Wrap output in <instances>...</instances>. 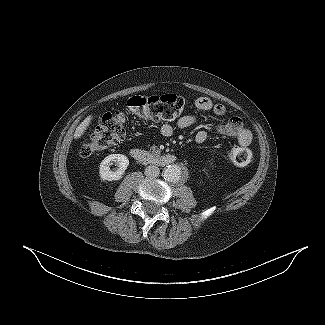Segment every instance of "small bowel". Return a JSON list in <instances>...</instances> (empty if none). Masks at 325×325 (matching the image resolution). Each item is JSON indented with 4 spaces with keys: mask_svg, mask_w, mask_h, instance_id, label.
<instances>
[{
    "mask_svg": "<svg viewBox=\"0 0 325 325\" xmlns=\"http://www.w3.org/2000/svg\"><path fill=\"white\" fill-rule=\"evenodd\" d=\"M195 107L200 111H211L217 116H223L226 113V107L221 103H214L208 97H199L194 102ZM197 123V116L188 114L180 117L173 124H164L160 128V133L163 136H171L178 129H185L191 127ZM216 132L234 137L240 146L247 147L252 142L251 132L245 128L241 119L238 116L231 117L227 122L219 124L216 127ZM208 139V133L204 130H200L195 135V141L197 143H204Z\"/></svg>",
    "mask_w": 325,
    "mask_h": 325,
    "instance_id": "small-bowel-1",
    "label": "small bowel"
}]
</instances>
